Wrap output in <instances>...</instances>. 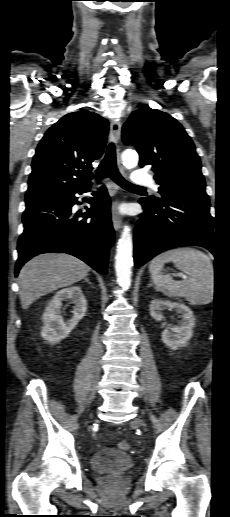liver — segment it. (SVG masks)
Returning a JSON list of instances; mask_svg holds the SVG:
<instances>
[{
	"label": "liver",
	"instance_id": "obj_1",
	"mask_svg": "<svg viewBox=\"0 0 230 517\" xmlns=\"http://www.w3.org/2000/svg\"><path fill=\"white\" fill-rule=\"evenodd\" d=\"M90 267L65 253L41 254L28 261L18 277L19 296L27 309L41 296L84 279Z\"/></svg>",
	"mask_w": 230,
	"mask_h": 517
}]
</instances>
